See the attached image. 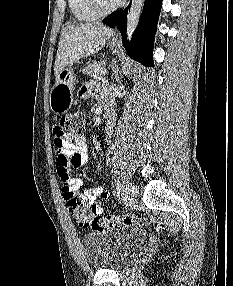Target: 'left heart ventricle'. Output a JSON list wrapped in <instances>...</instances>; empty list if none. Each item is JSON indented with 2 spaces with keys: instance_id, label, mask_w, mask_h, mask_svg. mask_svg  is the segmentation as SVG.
I'll list each match as a JSON object with an SVG mask.
<instances>
[{
  "instance_id": "b2bd125f",
  "label": "left heart ventricle",
  "mask_w": 233,
  "mask_h": 286,
  "mask_svg": "<svg viewBox=\"0 0 233 286\" xmlns=\"http://www.w3.org/2000/svg\"><path fill=\"white\" fill-rule=\"evenodd\" d=\"M104 7H109L115 3V0H100Z\"/></svg>"
}]
</instances>
